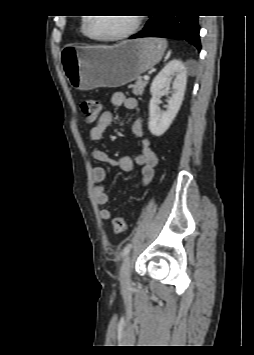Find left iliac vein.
I'll use <instances>...</instances> for the list:
<instances>
[{
    "instance_id": "left-iliac-vein-1",
    "label": "left iliac vein",
    "mask_w": 254,
    "mask_h": 355,
    "mask_svg": "<svg viewBox=\"0 0 254 355\" xmlns=\"http://www.w3.org/2000/svg\"><path fill=\"white\" fill-rule=\"evenodd\" d=\"M130 264H131V257L126 256L123 260L120 269V282L122 286H126L130 283V275H131Z\"/></svg>"
}]
</instances>
